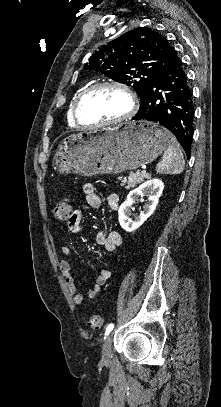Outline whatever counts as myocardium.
<instances>
[{
  "label": "myocardium",
  "mask_w": 221,
  "mask_h": 407,
  "mask_svg": "<svg viewBox=\"0 0 221 407\" xmlns=\"http://www.w3.org/2000/svg\"><path fill=\"white\" fill-rule=\"evenodd\" d=\"M104 88H117L120 89L122 91H124L126 93V95L129 98L130 101V109L129 111L123 115L122 117H119L117 119L114 120H110V121H105V122H100L99 124L95 125V126H90L91 128L93 127H98V126H103V125H114V124H118L121 122H124L128 119H130L137 111L138 109V100L137 97L135 95V93L132 91V89L127 86L126 84L123 83H119V82H102V83H97L94 84L90 87H88L86 90H84L79 97L77 98L74 107H73V111H72V118L74 123L79 126V127H84L86 126V124L82 121L81 119V115H80V109L81 106L83 105V103L96 91L100 90V89H104Z\"/></svg>",
  "instance_id": "myocardium-1"
}]
</instances>
